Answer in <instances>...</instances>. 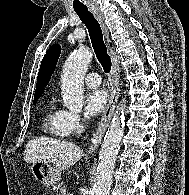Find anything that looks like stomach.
Wrapping results in <instances>:
<instances>
[{
    "instance_id": "1",
    "label": "stomach",
    "mask_w": 189,
    "mask_h": 195,
    "mask_svg": "<svg viewBox=\"0 0 189 195\" xmlns=\"http://www.w3.org/2000/svg\"><path fill=\"white\" fill-rule=\"evenodd\" d=\"M31 170L36 180L45 187L54 186L60 179V169L48 161L34 163Z\"/></svg>"
}]
</instances>
